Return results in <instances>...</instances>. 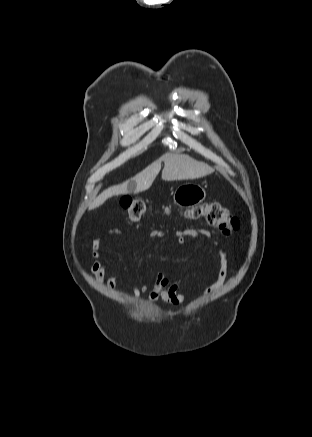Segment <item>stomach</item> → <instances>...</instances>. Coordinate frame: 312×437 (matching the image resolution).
Masks as SVG:
<instances>
[{"mask_svg": "<svg viewBox=\"0 0 312 437\" xmlns=\"http://www.w3.org/2000/svg\"><path fill=\"white\" fill-rule=\"evenodd\" d=\"M206 197V191L197 183H184L178 186L173 194L176 205L182 208L200 204Z\"/></svg>", "mask_w": 312, "mask_h": 437, "instance_id": "obj_1", "label": "stomach"}]
</instances>
